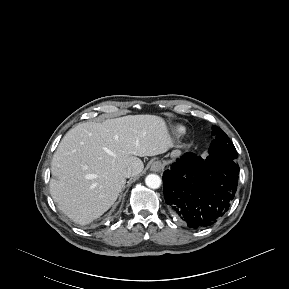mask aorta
<instances>
[{
    "label": "aorta",
    "instance_id": "aorta-1",
    "mask_svg": "<svg viewBox=\"0 0 289 289\" xmlns=\"http://www.w3.org/2000/svg\"><path fill=\"white\" fill-rule=\"evenodd\" d=\"M161 178L156 174H149L145 178V184L151 189H157L161 186Z\"/></svg>",
    "mask_w": 289,
    "mask_h": 289
}]
</instances>
